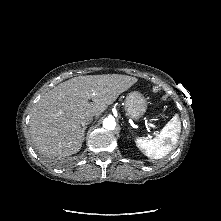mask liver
<instances>
[{
	"instance_id": "6515ba94",
	"label": "liver",
	"mask_w": 221,
	"mask_h": 221,
	"mask_svg": "<svg viewBox=\"0 0 221 221\" xmlns=\"http://www.w3.org/2000/svg\"><path fill=\"white\" fill-rule=\"evenodd\" d=\"M137 81L127 75L104 74L60 83L32 109L29 125L33 143L47 156L67 157L79 152L83 142L82 117H98Z\"/></svg>"
}]
</instances>
